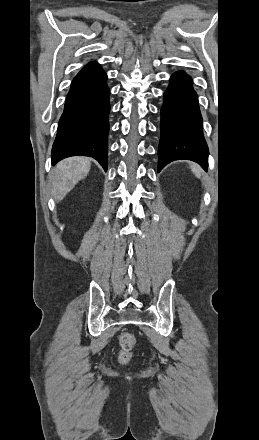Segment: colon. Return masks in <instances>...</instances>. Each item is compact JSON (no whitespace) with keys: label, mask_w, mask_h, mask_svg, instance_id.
I'll use <instances>...</instances> for the list:
<instances>
[{"label":"colon","mask_w":259,"mask_h":440,"mask_svg":"<svg viewBox=\"0 0 259 440\" xmlns=\"http://www.w3.org/2000/svg\"><path fill=\"white\" fill-rule=\"evenodd\" d=\"M136 344L135 336L130 332H122L119 336L120 351L118 360L121 364H127L131 361L132 352Z\"/></svg>","instance_id":"5ec220e1"}]
</instances>
